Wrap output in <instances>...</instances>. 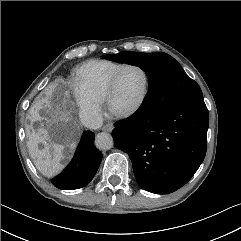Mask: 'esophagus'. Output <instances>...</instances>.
<instances>
[{
	"label": "esophagus",
	"mask_w": 241,
	"mask_h": 241,
	"mask_svg": "<svg viewBox=\"0 0 241 241\" xmlns=\"http://www.w3.org/2000/svg\"><path fill=\"white\" fill-rule=\"evenodd\" d=\"M113 125L112 124H106L102 127V130L105 132H111L113 130Z\"/></svg>",
	"instance_id": "1"
}]
</instances>
